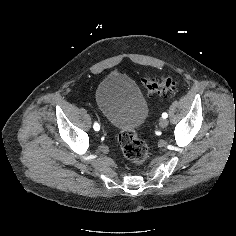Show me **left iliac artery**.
<instances>
[{"instance_id": "obj_1", "label": "left iliac artery", "mask_w": 236, "mask_h": 236, "mask_svg": "<svg viewBox=\"0 0 236 236\" xmlns=\"http://www.w3.org/2000/svg\"><path fill=\"white\" fill-rule=\"evenodd\" d=\"M168 117V114L166 113V112H164L163 114H162V118H167Z\"/></svg>"}]
</instances>
